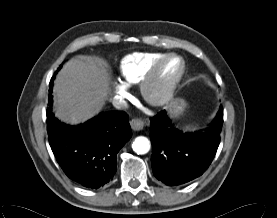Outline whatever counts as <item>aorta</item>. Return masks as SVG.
<instances>
[{
    "mask_svg": "<svg viewBox=\"0 0 277 218\" xmlns=\"http://www.w3.org/2000/svg\"><path fill=\"white\" fill-rule=\"evenodd\" d=\"M150 147V141L144 136L136 137L134 142L132 143L133 151L140 155L148 153Z\"/></svg>",
    "mask_w": 277,
    "mask_h": 218,
    "instance_id": "1",
    "label": "aorta"
}]
</instances>
